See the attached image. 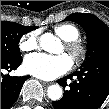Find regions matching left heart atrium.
Returning a JSON list of instances; mask_svg holds the SVG:
<instances>
[{
	"instance_id": "left-heart-atrium-1",
	"label": "left heart atrium",
	"mask_w": 109,
	"mask_h": 109,
	"mask_svg": "<svg viewBox=\"0 0 109 109\" xmlns=\"http://www.w3.org/2000/svg\"><path fill=\"white\" fill-rule=\"evenodd\" d=\"M72 66V59L66 54L34 53L24 59V70L43 80L56 79L69 72Z\"/></svg>"
}]
</instances>
